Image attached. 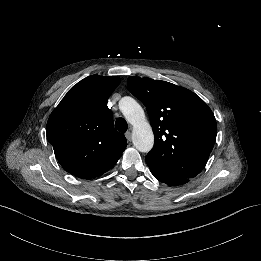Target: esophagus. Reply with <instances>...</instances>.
<instances>
[{
	"instance_id": "34e87169",
	"label": "esophagus",
	"mask_w": 261,
	"mask_h": 261,
	"mask_svg": "<svg viewBox=\"0 0 261 261\" xmlns=\"http://www.w3.org/2000/svg\"><path fill=\"white\" fill-rule=\"evenodd\" d=\"M125 136H126V138L128 139V141H131V139H132V134H131L130 131H127V132L125 133Z\"/></svg>"
}]
</instances>
